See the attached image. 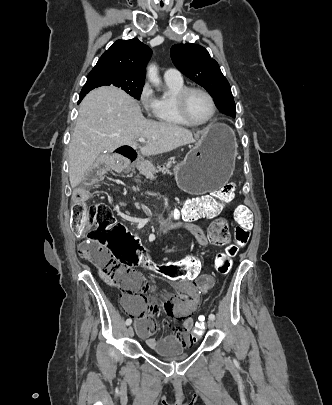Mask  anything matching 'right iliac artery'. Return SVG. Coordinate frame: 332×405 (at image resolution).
Listing matches in <instances>:
<instances>
[{
    "mask_svg": "<svg viewBox=\"0 0 332 405\" xmlns=\"http://www.w3.org/2000/svg\"><path fill=\"white\" fill-rule=\"evenodd\" d=\"M132 323V319L131 318H128L127 320H126V322H125V324L128 326V325H130Z\"/></svg>",
    "mask_w": 332,
    "mask_h": 405,
    "instance_id": "right-iliac-artery-1",
    "label": "right iliac artery"
}]
</instances>
